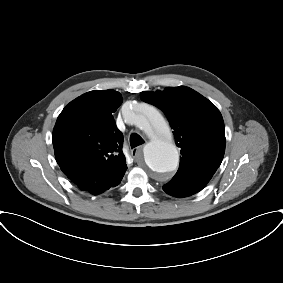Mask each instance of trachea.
I'll return each instance as SVG.
<instances>
[{"mask_svg":"<svg viewBox=\"0 0 283 283\" xmlns=\"http://www.w3.org/2000/svg\"><path fill=\"white\" fill-rule=\"evenodd\" d=\"M144 143V140L137 134V133H132L130 136V145L131 148H134L136 146H139Z\"/></svg>","mask_w":283,"mask_h":283,"instance_id":"3493384b","label":"trachea"}]
</instances>
